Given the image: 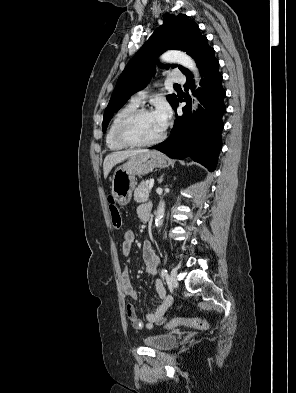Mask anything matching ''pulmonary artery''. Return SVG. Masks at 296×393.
<instances>
[{
    "mask_svg": "<svg viewBox=\"0 0 296 393\" xmlns=\"http://www.w3.org/2000/svg\"><path fill=\"white\" fill-rule=\"evenodd\" d=\"M169 81L173 83H184L185 77L180 73L173 71L169 75ZM147 94L148 90H141L132 96L131 102L139 105L143 103L144 99L147 97Z\"/></svg>",
    "mask_w": 296,
    "mask_h": 393,
    "instance_id": "1",
    "label": "pulmonary artery"
}]
</instances>
